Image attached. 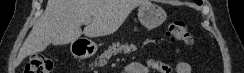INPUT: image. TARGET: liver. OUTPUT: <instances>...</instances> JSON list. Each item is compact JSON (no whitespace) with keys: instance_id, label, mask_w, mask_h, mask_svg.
<instances>
[{"instance_id":"obj_1","label":"liver","mask_w":244,"mask_h":73,"mask_svg":"<svg viewBox=\"0 0 244 73\" xmlns=\"http://www.w3.org/2000/svg\"><path fill=\"white\" fill-rule=\"evenodd\" d=\"M146 0H48L44 14L24 41L17 61L43 51L49 44L76 41L82 33L89 38L114 33L137 6ZM91 19L83 32L81 25Z\"/></svg>"}]
</instances>
